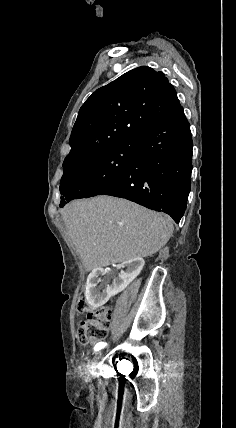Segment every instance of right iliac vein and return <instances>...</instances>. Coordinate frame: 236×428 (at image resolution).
I'll use <instances>...</instances> for the list:
<instances>
[{"mask_svg": "<svg viewBox=\"0 0 236 428\" xmlns=\"http://www.w3.org/2000/svg\"><path fill=\"white\" fill-rule=\"evenodd\" d=\"M98 354L101 356L103 353L100 351Z\"/></svg>", "mask_w": 236, "mask_h": 428, "instance_id": "63e3f726", "label": "right iliac vein"}]
</instances>
